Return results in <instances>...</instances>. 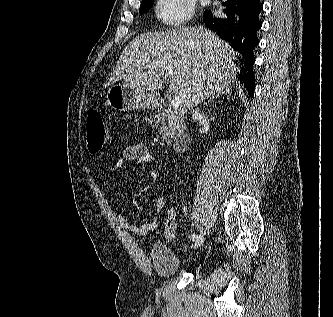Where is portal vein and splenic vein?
<instances>
[{
    "mask_svg": "<svg viewBox=\"0 0 333 317\" xmlns=\"http://www.w3.org/2000/svg\"><path fill=\"white\" fill-rule=\"evenodd\" d=\"M169 73L170 74L172 73L171 69H169ZM182 103H183V101H182V99L180 97L174 96L172 98L171 104H172V106L174 108H181L182 107Z\"/></svg>",
    "mask_w": 333,
    "mask_h": 317,
    "instance_id": "18ae733b",
    "label": "portal vein and splenic vein"
}]
</instances>
